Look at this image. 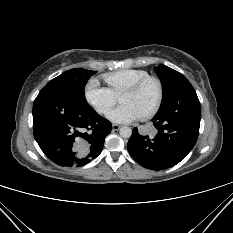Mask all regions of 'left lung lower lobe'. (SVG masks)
<instances>
[{
  "label": "left lung lower lobe",
  "instance_id": "1",
  "mask_svg": "<svg viewBox=\"0 0 233 233\" xmlns=\"http://www.w3.org/2000/svg\"><path fill=\"white\" fill-rule=\"evenodd\" d=\"M201 119L200 102L188 80L179 84L168 103L152 122L154 137L142 136L133 129L127 147L132 158L151 170H163L178 164L194 147Z\"/></svg>",
  "mask_w": 233,
  "mask_h": 233
}]
</instances>
